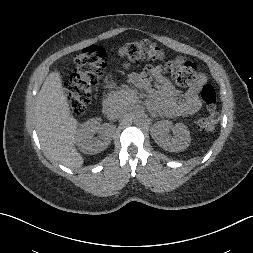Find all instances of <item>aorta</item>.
I'll return each instance as SVG.
<instances>
[{"label": "aorta", "mask_w": 253, "mask_h": 253, "mask_svg": "<svg viewBox=\"0 0 253 253\" xmlns=\"http://www.w3.org/2000/svg\"><path fill=\"white\" fill-rule=\"evenodd\" d=\"M132 119L135 123H143L146 120V115L141 111H135L132 114Z\"/></svg>", "instance_id": "obj_1"}]
</instances>
